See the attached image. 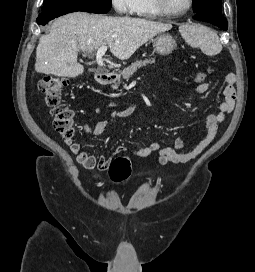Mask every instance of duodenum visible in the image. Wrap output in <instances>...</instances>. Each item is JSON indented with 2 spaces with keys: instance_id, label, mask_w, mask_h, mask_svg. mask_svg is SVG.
Here are the masks:
<instances>
[{
  "instance_id": "obj_1",
  "label": "duodenum",
  "mask_w": 255,
  "mask_h": 272,
  "mask_svg": "<svg viewBox=\"0 0 255 272\" xmlns=\"http://www.w3.org/2000/svg\"><path fill=\"white\" fill-rule=\"evenodd\" d=\"M95 78L98 84L108 85L116 80L117 74L115 72L100 70L96 73Z\"/></svg>"
}]
</instances>
